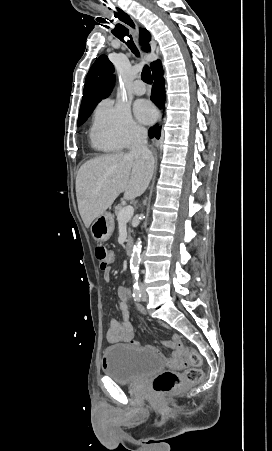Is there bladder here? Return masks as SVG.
<instances>
[{"mask_svg":"<svg viewBox=\"0 0 272 451\" xmlns=\"http://www.w3.org/2000/svg\"><path fill=\"white\" fill-rule=\"evenodd\" d=\"M104 373L112 376L117 384H133L162 371L163 357L146 355L129 345H112L103 352Z\"/></svg>","mask_w":272,"mask_h":451,"instance_id":"bladder-1","label":"bladder"}]
</instances>
